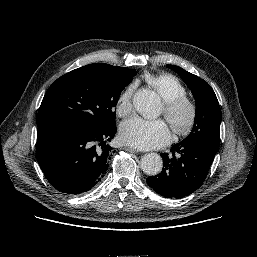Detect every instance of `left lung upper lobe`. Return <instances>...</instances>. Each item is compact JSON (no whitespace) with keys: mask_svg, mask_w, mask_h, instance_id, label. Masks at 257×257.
Returning a JSON list of instances; mask_svg holds the SVG:
<instances>
[{"mask_svg":"<svg viewBox=\"0 0 257 257\" xmlns=\"http://www.w3.org/2000/svg\"><path fill=\"white\" fill-rule=\"evenodd\" d=\"M167 67L180 75L196 101L193 130L183 141H205L219 146L221 109L213 89L203 79L178 66L167 65Z\"/></svg>","mask_w":257,"mask_h":257,"instance_id":"5c2ea615","label":"left lung upper lobe"}]
</instances>
